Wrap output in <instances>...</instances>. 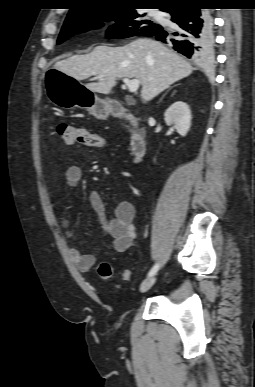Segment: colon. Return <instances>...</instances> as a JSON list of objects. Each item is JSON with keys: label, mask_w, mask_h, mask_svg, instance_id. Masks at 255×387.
I'll list each match as a JSON object with an SVG mask.
<instances>
[{"label": "colon", "mask_w": 255, "mask_h": 387, "mask_svg": "<svg viewBox=\"0 0 255 387\" xmlns=\"http://www.w3.org/2000/svg\"><path fill=\"white\" fill-rule=\"evenodd\" d=\"M57 133L66 145H73L76 142L88 147H105L107 145L104 136L71 123H60L57 126ZM96 270L100 278L104 280H110L114 275V270L108 262L99 263ZM121 276L125 281L132 279L130 270H124Z\"/></svg>", "instance_id": "obj_1"}]
</instances>
